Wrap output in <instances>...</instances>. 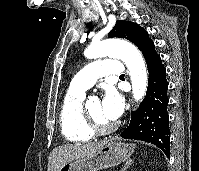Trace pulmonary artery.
Returning a JSON list of instances; mask_svg holds the SVG:
<instances>
[{
    "label": "pulmonary artery",
    "mask_w": 199,
    "mask_h": 171,
    "mask_svg": "<svg viewBox=\"0 0 199 171\" xmlns=\"http://www.w3.org/2000/svg\"><path fill=\"white\" fill-rule=\"evenodd\" d=\"M124 71L122 64L116 60L102 59L94 61L81 69L70 83L71 90L85 92L103 76L121 75Z\"/></svg>",
    "instance_id": "pulmonary-artery-1"
}]
</instances>
